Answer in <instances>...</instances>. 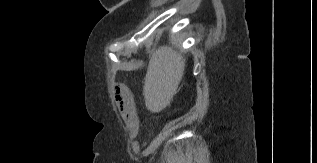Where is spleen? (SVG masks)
Wrapping results in <instances>:
<instances>
[{
    "label": "spleen",
    "mask_w": 317,
    "mask_h": 163,
    "mask_svg": "<svg viewBox=\"0 0 317 163\" xmlns=\"http://www.w3.org/2000/svg\"><path fill=\"white\" fill-rule=\"evenodd\" d=\"M184 68L185 59L170 47H160L153 53L143 88L149 110L159 112L170 103Z\"/></svg>",
    "instance_id": "3e777b00"
}]
</instances>
